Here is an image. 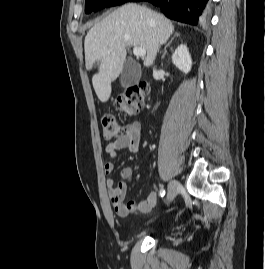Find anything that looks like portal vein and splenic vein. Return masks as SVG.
Here are the masks:
<instances>
[{
  "label": "portal vein and splenic vein",
  "mask_w": 265,
  "mask_h": 269,
  "mask_svg": "<svg viewBox=\"0 0 265 269\" xmlns=\"http://www.w3.org/2000/svg\"><path fill=\"white\" fill-rule=\"evenodd\" d=\"M133 54L136 57H145L146 51L143 48H140V47H133Z\"/></svg>",
  "instance_id": "portal-vein-and-splenic-vein-1"
}]
</instances>
